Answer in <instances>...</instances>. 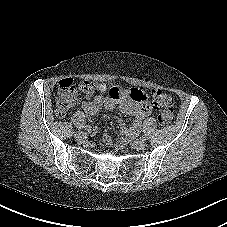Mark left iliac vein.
<instances>
[{"instance_id":"4c4485c4","label":"left iliac vein","mask_w":227,"mask_h":227,"mask_svg":"<svg viewBox=\"0 0 227 227\" xmlns=\"http://www.w3.org/2000/svg\"><path fill=\"white\" fill-rule=\"evenodd\" d=\"M133 146L136 149H144L147 146V143L144 139H138L133 142Z\"/></svg>"}]
</instances>
